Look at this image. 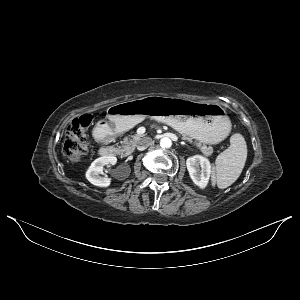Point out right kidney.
I'll list each match as a JSON object with an SVG mask.
<instances>
[{"mask_svg":"<svg viewBox=\"0 0 300 300\" xmlns=\"http://www.w3.org/2000/svg\"><path fill=\"white\" fill-rule=\"evenodd\" d=\"M116 162L117 158L114 155H104L95 159L86 171L87 180L95 186L108 187L111 179L107 176H100V173L105 165H114Z\"/></svg>","mask_w":300,"mask_h":300,"instance_id":"1","label":"right kidney"}]
</instances>
